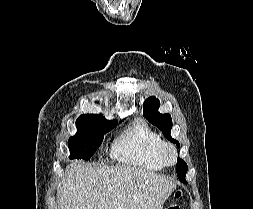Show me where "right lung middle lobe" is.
Wrapping results in <instances>:
<instances>
[{"mask_svg": "<svg viewBox=\"0 0 253 209\" xmlns=\"http://www.w3.org/2000/svg\"><path fill=\"white\" fill-rule=\"evenodd\" d=\"M116 124V120L107 121L99 117H87L77 120V133L68 140L69 158L89 160L101 145L104 134Z\"/></svg>", "mask_w": 253, "mask_h": 209, "instance_id": "right-lung-middle-lobe-1", "label": "right lung middle lobe"}]
</instances>
